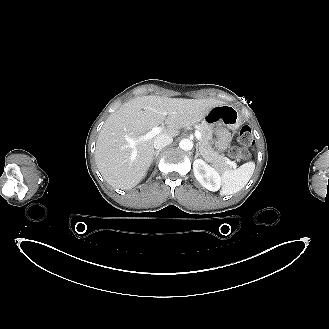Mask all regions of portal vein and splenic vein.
I'll list each match as a JSON object with an SVG mask.
<instances>
[{
  "label": "portal vein and splenic vein",
  "instance_id": "1",
  "mask_svg": "<svg viewBox=\"0 0 329 329\" xmlns=\"http://www.w3.org/2000/svg\"><path fill=\"white\" fill-rule=\"evenodd\" d=\"M163 115H167V112H163ZM160 132H161V128L160 127H153L151 131L147 132L145 135H143L142 137H140L139 140L140 141H145V140L152 139L153 137H155ZM195 137L197 138V140H200L202 138V135H201V133L198 130L195 131ZM125 139L129 143L130 147L133 148V154H132V156L135 157L137 155V149L135 148V145H136L137 140H134V139H132V138H130L128 136H126Z\"/></svg>",
  "mask_w": 329,
  "mask_h": 329
}]
</instances>
